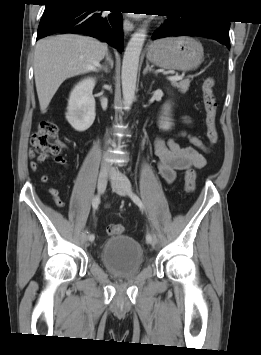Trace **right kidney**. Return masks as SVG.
<instances>
[{"mask_svg": "<svg viewBox=\"0 0 261 355\" xmlns=\"http://www.w3.org/2000/svg\"><path fill=\"white\" fill-rule=\"evenodd\" d=\"M95 83L94 78H85L70 93L66 119L76 131H86L95 120V99L92 95Z\"/></svg>", "mask_w": 261, "mask_h": 355, "instance_id": "obj_1", "label": "right kidney"}]
</instances>
